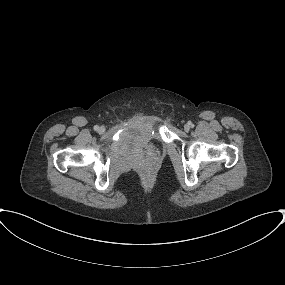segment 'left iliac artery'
I'll return each mask as SVG.
<instances>
[{"label": "left iliac artery", "instance_id": "obj_1", "mask_svg": "<svg viewBox=\"0 0 285 285\" xmlns=\"http://www.w3.org/2000/svg\"><path fill=\"white\" fill-rule=\"evenodd\" d=\"M188 124H189L191 127H193V126H194V125L192 124V122H189Z\"/></svg>", "mask_w": 285, "mask_h": 285}]
</instances>
